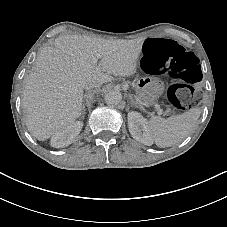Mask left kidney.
Returning <instances> with one entry per match:
<instances>
[{"instance_id": "obj_1", "label": "left kidney", "mask_w": 227, "mask_h": 227, "mask_svg": "<svg viewBox=\"0 0 227 227\" xmlns=\"http://www.w3.org/2000/svg\"><path fill=\"white\" fill-rule=\"evenodd\" d=\"M128 128L132 137L144 145L153 144L152 137L149 133L147 120L138 112L128 113Z\"/></svg>"}]
</instances>
